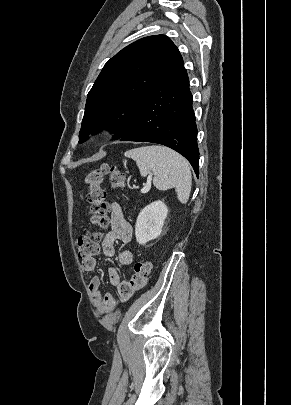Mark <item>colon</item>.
Returning <instances> with one entry per match:
<instances>
[{
  "label": "colon",
  "mask_w": 291,
  "mask_h": 405,
  "mask_svg": "<svg viewBox=\"0 0 291 405\" xmlns=\"http://www.w3.org/2000/svg\"><path fill=\"white\" fill-rule=\"evenodd\" d=\"M106 175H109L112 187L121 188L125 185V173L119 167L109 163H103L93 168L85 177V183L89 187L87 201L92 214L91 222L100 228H104L108 224L109 204L103 188ZM101 238V233L97 231H89L80 236L77 240L78 257L84 261L95 256L99 250ZM152 269V262H138L134 265L133 277L137 280H146L151 275Z\"/></svg>",
  "instance_id": "obj_1"
}]
</instances>
